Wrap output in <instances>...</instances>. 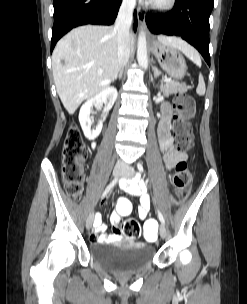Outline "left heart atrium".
Segmentation results:
<instances>
[{
    "instance_id": "1",
    "label": "left heart atrium",
    "mask_w": 247,
    "mask_h": 304,
    "mask_svg": "<svg viewBox=\"0 0 247 304\" xmlns=\"http://www.w3.org/2000/svg\"><path fill=\"white\" fill-rule=\"evenodd\" d=\"M145 1H147V2H153L154 0H145Z\"/></svg>"
}]
</instances>
